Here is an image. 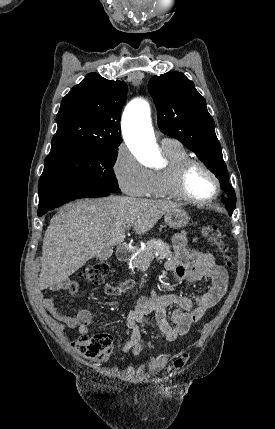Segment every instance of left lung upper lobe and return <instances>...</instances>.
Instances as JSON below:
<instances>
[{"instance_id": "1", "label": "left lung upper lobe", "mask_w": 275, "mask_h": 429, "mask_svg": "<svg viewBox=\"0 0 275 429\" xmlns=\"http://www.w3.org/2000/svg\"><path fill=\"white\" fill-rule=\"evenodd\" d=\"M148 88L157 106L161 132L178 139L195 152L215 174L220 180L221 188L228 195V199H223V202L228 214L232 215L236 196L228 183L229 176L221 145L205 99L195 89L194 83L181 72L153 76Z\"/></svg>"}]
</instances>
